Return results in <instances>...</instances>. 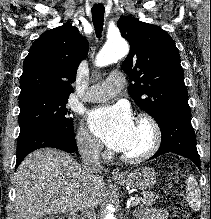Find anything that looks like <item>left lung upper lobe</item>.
Wrapping results in <instances>:
<instances>
[{"label": "left lung upper lobe", "instance_id": "left-lung-upper-lobe-1", "mask_svg": "<svg viewBox=\"0 0 211 219\" xmlns=\"http://www.w3.org/2000/svg\"><path fill=\"white\" fill-rule=\"evenodd\" d=\"M117 26L130 44L122 64L133 84L129 94L156 121L172 108H190L180 55L173 39L160 27L122 17Z\"/></svg>", "mask_w": 211, "mask_h": 219}]
</instances>
